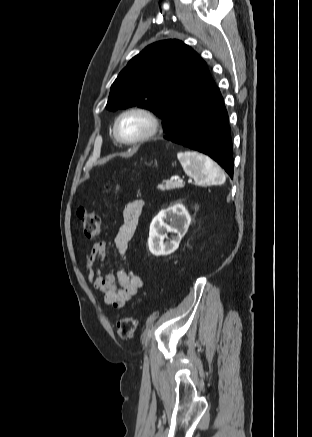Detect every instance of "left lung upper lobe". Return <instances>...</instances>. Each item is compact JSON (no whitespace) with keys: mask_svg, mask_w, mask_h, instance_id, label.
Here are the masks:
<instances>
[{"mask_svg":"<svg viewBox=\"0 0 312 437\" xmlns=\"http://www.w3.org/2000/svg\"><path fill=\"white\" fill-rule=\"evenodd\" d=\"M214 86L206 63L193 49L179 40L159 41L133 57L119 73L106 108L149 109L163 119L170 136Z\"/></svg>","mask_w":312,"mask_h":437,"instance_id":"5c2ea615","label":"left lung upper lobe"}]
</instances>
